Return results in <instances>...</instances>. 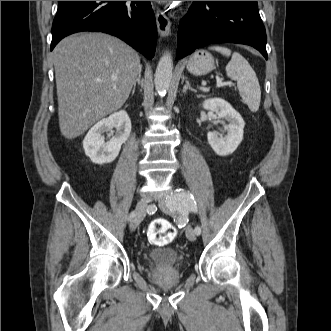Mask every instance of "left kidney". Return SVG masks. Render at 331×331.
Here are the masks:
<instances>
[{
	"label": "left kidney",
	"instance_id": "left-kidney-1",
	"mask_svg": "<svg viewBox=\"0 0 331 331\" xmlns=\"http://www.w3.org/2000/svg\"><path fill=\"white\" fill-rule=\"evenodd\" d=\"M205 110L215 112L219 118H225L229 124L225 125L228 133L225 137H219L216 131L207 134L208 143L217 155L227 156L232 154L243 139L245 126L241 115L224 99L213 98L203 102Z\"/></svg>",
	"mask_w": 331,
	"mask_h": 331
}]
</instances>
